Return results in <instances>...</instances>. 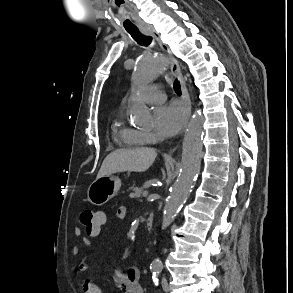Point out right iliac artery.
I'll return each instance as SVG.
<instances>
[{
  "instance_id": "1",
  "label": "right iliac artery",
  "mask_w": 293,
  "mask_h": 293,
  "mask_svg": "<svg viewBox=\"0 0 293 293\" xmlns=\"http://www.w3.org/2000/svg\"><path fill=\"white\" fill-rule=\"evenodd\" d=\"M153 271L157 272V271H160V269L159 268H154Z\"/></svg>"
}]
</instances>
